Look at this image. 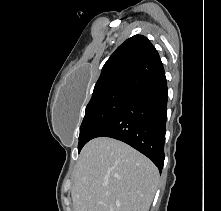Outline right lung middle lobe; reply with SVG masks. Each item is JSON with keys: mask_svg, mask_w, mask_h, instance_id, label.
<instances>
[{"mask_svg": "<svg viewBox=\"0 0 221 211\" xmlns=\"http://www.w3.org/2000/svg\"><path fill=\"white\" fill-rule=\"evenodd\" d=\"M133 91L132 88H117L91 98L80 127L78 151L117 114Z\"/></svg>", "mask_w": 221, "mask_h": 211, "instance_id": "1", "label": "right lung middle lobe"}]
</instances>
